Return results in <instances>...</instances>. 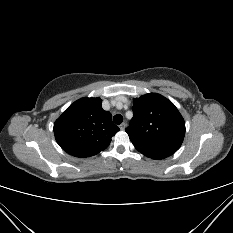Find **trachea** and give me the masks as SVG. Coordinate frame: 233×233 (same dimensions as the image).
Masks as SVG:
<instances>
[{"label":"trachea","mask_w":233,"mask_h":233,"mask_svg":"<svg viewBox=\"0 0 233 233\" xmlns=\"http://www.w3.org/2000/svg\"><path fill=\"white\" fill-rule=\"evenodd\" d=\"M113 121H114V123L117 124V125L121 124L122 121H123L122 115L116 114V115L113 117Z\"/></svg>","instance_id":"1"}]
</instances>
